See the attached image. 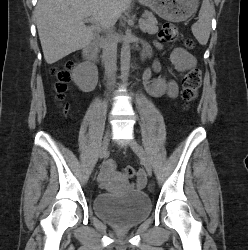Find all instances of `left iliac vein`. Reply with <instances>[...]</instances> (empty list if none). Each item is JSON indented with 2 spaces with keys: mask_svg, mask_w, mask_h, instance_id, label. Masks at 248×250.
<instances>
[{
  "mask_svg": "<svg viewBox=\"0 0 248 250\" xmlns=\"http://www.w3.org/2000/svg\"><path fill=\"white\" fill-rule=\"evenodd\" d=\"M130 147L138 155V157L141 159L142 165L144 166L148 175H151L152 174V165H151V162L148 159L143 147L139 143H137L135 140L130 142Z\"/></svg>",
  "mask_w": 248,
  "mask_h": 250,
  "instance_id": "obj_1",
  "label": "left iliac vein"
}]
</instances>
